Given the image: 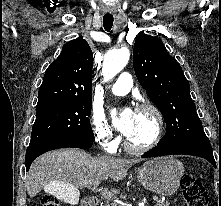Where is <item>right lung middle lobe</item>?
<instances>
[{
    "label": "right lung middle lobe",
    "mask_w": 221,
    "mask_h": 206,
    "mask_svg": "<svg viewBox=\"0 0 221 206\" xmlns=\"http://www.w3.org/2000/svg\"><path fill=\"white\" fill-rule=\"evenodd\" d=\"M91 107L92 103L52 104L36 107V120L29 146L64 139L94 141L88 118L91 114Z\"/></svg>",
    "instance_id": "1"
}]
</instances>
